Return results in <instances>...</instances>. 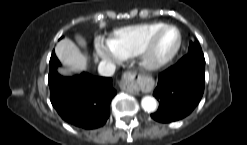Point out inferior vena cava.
Returning a JSON list of instances; mask_svg holds the SVG:
<instances>
[{"instance_id":"obj_1","label":"inferior vena cava","mask_w":247,"mask_h":145,"mask_svg":"<svg viewBox=\"0 0 247 145\" xmlns=\"http://www.w3.org/2000/svg\"><path fill=\"white\" fill-rule=\"evenodd\" d=\"M116 66L111 62L101 61L98 66V72L102 76H112L115 73Z\"/></svg>"}]
</instances>
